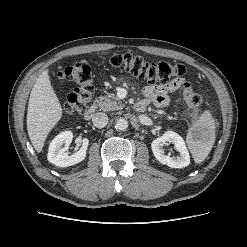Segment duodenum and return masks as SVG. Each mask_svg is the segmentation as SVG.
I'll return each mask as SVG.
<instances>
[{"label": "duodenum", "instance_id": "1", "mask_svg": "<svg viewBox=\"0 0 247 247\" xmlns=\"http://www.w3.org/2000/svg\"><path fill=\"white\" fill-rule=\"evenodd\" d=\"M146 107H147V104L143 101H139L134 105V109L137 112L145 111ZM95 113H96V107L92 105L85 111L84 117L86 120H90L94 116Z\"/></svg>", "mask_w": 247, "mask_h": 247}]
</instances>
